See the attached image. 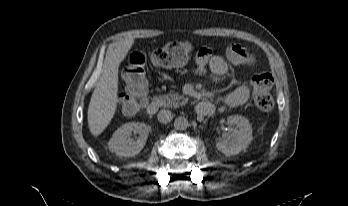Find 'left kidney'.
Segmentation results:
<instances>
[{"mask_svg": "<svg viewBox=\"0 0 348 206\" xmlns=\"http://www.w3.org/2000/svg\"><path fill=\"white\" fill-rule=\"evenodd\" d=\"M227 123L235 128L225 133L221 140L217 141L216 148L226 156L239 154L251 143L252 126L248 119L243 116L234 115L227 118Z\"/></svg>", "mask_w": 348, "mask_h": 206, "instance_id": "1", "label": "left kidney"}]
</instances>
